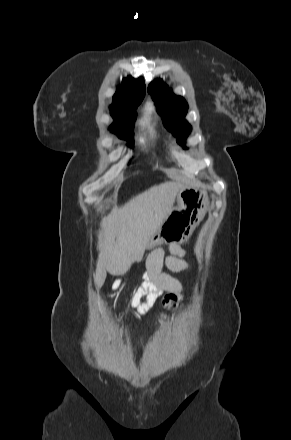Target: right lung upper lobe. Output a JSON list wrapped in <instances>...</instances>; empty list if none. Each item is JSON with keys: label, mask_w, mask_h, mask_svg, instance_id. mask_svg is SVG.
Masks as SVG:
<instances>
[{"label": "right lung upper lobe", "mask_w": 291, "mask_h": 440, "mask_svg": "<svg viewBox=\"0 0 291 440\" xmlns=\"http://www.w3.org/2000/svg\"><path fill=\"white\" fill-rule=\"evenodd\" d=\"M145 95L143 78L137 80L131 76L123 79L121 88L113 96L111 111L130 112L136 109Z\"/></svg>", "instance_id": "cb5924a9"}]
</instances>
